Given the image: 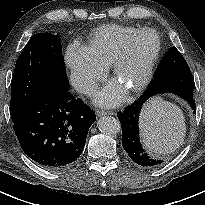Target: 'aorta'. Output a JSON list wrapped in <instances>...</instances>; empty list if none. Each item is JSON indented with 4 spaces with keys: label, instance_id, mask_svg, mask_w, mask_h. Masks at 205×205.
Masks as SVG:
<instances>
[{
    "label": "aorta",
    "instance_id": "obj_1",
    "mask_svg": "<svg viewBox=\"0 0 205 205\" xmlns=\"http://www.w3.org/2000/svg\"><path fill=\"white\" fill-rule=\"evenodd\" d=\"M98 129L106 135H115L120 132L121 124L118 119L104 116L97 123Z\"/></svg>",
    "mask_w": 205,
    "mask_h": 205
}]
</instances>
